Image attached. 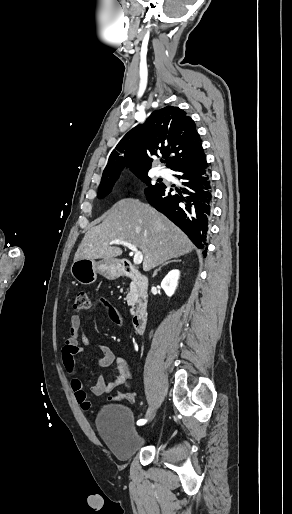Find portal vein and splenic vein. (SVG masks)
Instances as JSON below:
<instances>
[{"mask_svg":"<svg viewBox=\"0 0 292 514\" xmlns=\"http://www.w3.org/2000/svg\"><path fill=\"white\" fill-rule=\"evenodd\" d=\"M110 244H122V246H127V248L132 250L133 254H135L133 258L134 264H141L143 260V254L137 250L136 246H132V244H128V242H123V240H113V242H110Z\"/></svg>","mask_w":292,"mask_h":514,"instance_id":"obj_1","label":"portal vein and splenic vein"}]
</instances>
